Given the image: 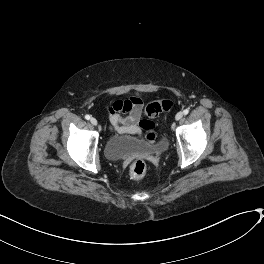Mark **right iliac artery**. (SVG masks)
Listing matches in <instances>:
<instances>
[{
    "label": "right iliac artery",
    "instance_id": "right-iliac-artery-1",
    "mask_svg": "<svg viewBox=\"0 0 264 264\" xmlns=\"http://www.w3.org/2000/svg\"><path fill=\"white\" fill-rule=\"evenodd\" d=\"M90 118H91V116H90V115H88V114H87V115H85V119H86V120H89Z\"/></svg>",
    "mask_w": 264,
    "mask_h": 264
}]
</instances>
